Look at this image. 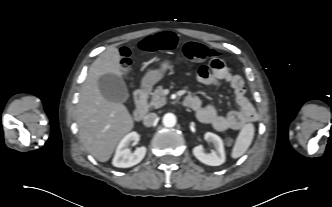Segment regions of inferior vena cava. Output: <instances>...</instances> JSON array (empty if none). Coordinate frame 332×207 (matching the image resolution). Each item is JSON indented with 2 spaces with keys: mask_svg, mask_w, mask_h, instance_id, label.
<instances>
[{
  "mask_svg": "<svg viewBox=\"0 0 332 207\" xmlns=\"http://www.w3.org/2000/svg\"><path fill=\"white\" fill-rule=\"evenodd\" d=\"M157 119V114L156 113H149L145 116L143 124L147 127L152 126Z\"/></svg>",
  "mask_w": 332,
  "mask_h": 207,
  "instance_id": "inferior-vena-cava-1",
  "label": "inferior vena cava"
}]
</instances>
